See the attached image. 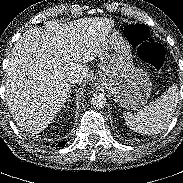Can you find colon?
Masks as SVG:
<instances>
[{"instance_id": "obj_1", "label": "colon", "mask_w": 183, "mask_h": 183, "mask_svg": "<svg viewBox=\"0 0 183 183\" xmlns=\"http://www.w3.org/2000/svg\"><path fill=\"white\" fill-rule=\"evenodd\" d=\"M124 34L128 41L136 48L138 56L154 69L160 70L165 62V49L150 36L147 26L133 24L126 26Z\"/></svg>"}]
</instances>
